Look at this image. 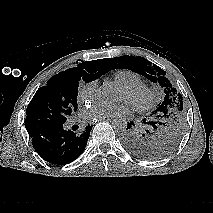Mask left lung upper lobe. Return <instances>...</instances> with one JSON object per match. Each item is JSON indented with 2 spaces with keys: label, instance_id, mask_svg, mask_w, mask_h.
<instances>
[{
  "label": "left lung upper lobe",
  "instance_id": "left-lung-upper-lobe-1",
  "mask_svg": "<svg viewBox=\"0 0 213 213\" xmlns=\"http://www.w3.org/2000/svg\"><path fill=\"white\" fill-rule=\"evenodd\" d=\"M109 68L129 69L158 82L164 90V100L159 103L154 116L135 129L132 143L127 145L131 153L145 159H161L173 152L185 131V110L182 95L165 76L163 70L139 56H121L107 60Z\"/></svg>",
  "mask_w": 213,
  "mask_h": 213
}]
</instances>
